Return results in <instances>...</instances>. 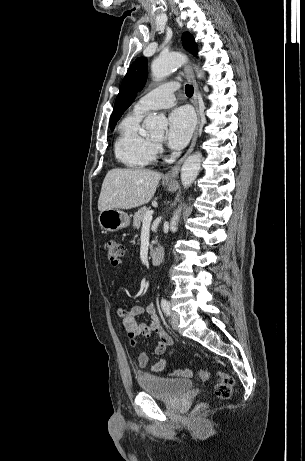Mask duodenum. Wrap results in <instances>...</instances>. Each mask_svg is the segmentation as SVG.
Listing matches in <instances>:
<instances>
[{
	"mask_svg": "<svg viewBox=\"0 0 305 461\" xmlns=\"http://www.w3.org/2000/svg\"><path fill=\"white\" fill-rule=\"evenodd\" d=\"M164 257V249L162 247H157L150 250V262L152 265H159Z\"/></svg>",
	"mask_w": 305,
	"mask_h": 461,
	"instance_id": "obj_1",
	"label": "duodenum"
}]
</instances>
